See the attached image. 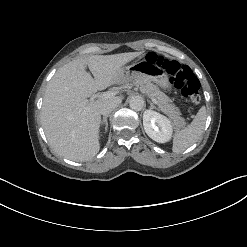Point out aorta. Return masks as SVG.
<instances>
[{"instance_id": "1", "label": "aorta", "mask_w": 247, "mask_h": 247, "mask_svg": "<svg viewBox=\"0 0 247 247\" xmlns=\"http://www.w3.org/2000/svg\"><path fill=\"white\" fill-rule=\"evenodd\" d=\"M129 106L132 110L141 111L144 108V99L139 96H132L129 100Z\"/></svg>"}]
</instances>
